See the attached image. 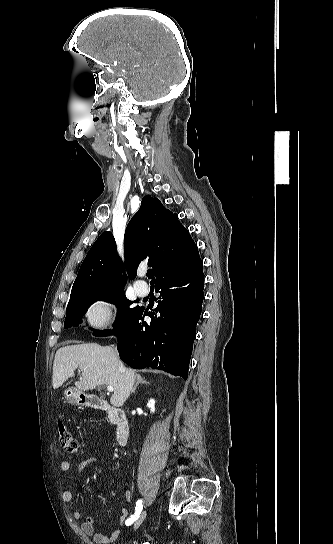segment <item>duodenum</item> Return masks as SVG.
Instances as JSON below:
<instances>
[{
	"label": "duodenum",
	"mask_w": 333,
	"mask_h": 544,
	"mask_svg": "<svg viewBox=\"0 0 333 544\" xmlns=\"http://www.w3.org/2000/svg\"><path fill=\"white\" fill-rule=\"evenodd\" d=\"M79 400L84 406L106 410L110 414L115 424L117 443L120 446H124L126 444L129 437V424L127 416L122 409L114 407L107 401L93 395H81Z\"/></svg>",
	"instance_id": "obj_1"
}]
</instances>
